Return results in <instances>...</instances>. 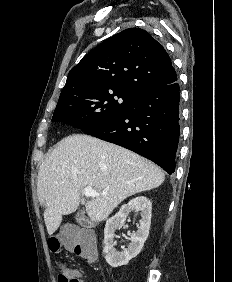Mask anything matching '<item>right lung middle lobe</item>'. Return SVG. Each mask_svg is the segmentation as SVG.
Listing matches in <instances>:
<instances>
[{"mask_svg": "<svg viewBox=\"0 0 232 282\" xmlns=\"http://www.w3.org/2000/svg\"><path fill=\"white\" fill-rule=\"evenodd\" d=\"M138 97L125 90L79 94L59 101L52 121L86 130L128 112L135 106Z\"/></svg>", "mask_w": 232, "mask_h": 282, "instance_id": "1", "label": "right lung middle lobe"}]
</instances>
